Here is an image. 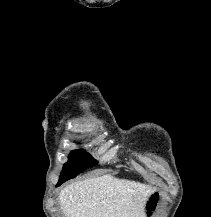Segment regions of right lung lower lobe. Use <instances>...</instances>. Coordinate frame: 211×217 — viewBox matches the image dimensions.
Returning a JSON list of instances; mask_svg holds the SVG:
<instances>
[{
    "mask_svg": "<svg viewBox=\"0 0 211 217\" xmlns=\"http://www.w3.org/2000/svg\"><path fill=\"white\" fill-rule=\"evenodd\" d=\"M63 182H65V181L59 180L57 186L61 185Z\"/></svg>",
    "mask_w": 211,
    "mask_h": 217,
    "instance_id": "98d812e1",
    "label": "right lung lower lobe"
}]
</instances>
